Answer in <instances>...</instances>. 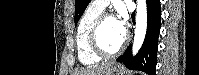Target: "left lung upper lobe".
Here are the masks:
<instances>
[{
	"mask_svg": "<svg viewBox=\"0 0 199 75\" xmlns=\"http://www.w3.org/2000/svg\"><path fill=\"white\" fill-rule=\"evenodd\" d=\"M90 1L91 0H75V8H76L75 17H74L75 26L77 25L78 20L82 16L83 12L85 11Z\"/></svg>",
	"mask_w": 199,
	"mask_h": 75,
	"instance_id": "obj_1",
	"label": "left lung upper lobe"
}]
</instances>
